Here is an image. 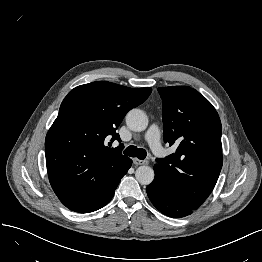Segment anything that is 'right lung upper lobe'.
I'll use <instances>...</instances> for the list:
<instances>
[{"mask_svg": "<svg viewBox=\"0 0 262 262\" xmlns=\"http://www.w3.org/2000/svg\"><path fill=\"white\" fill-rule=\"evenodd\" d=\"M151 92L98 81L68 93L45 139L49 181L60 200H96L117 186L130 159L107 142L120 141L124 116Z\"/></svg>", "mask_w": 262, "mask_h": 262, "instance_id": "cb5924a9", "label": "right lung upper lobe"}]
</instances>
